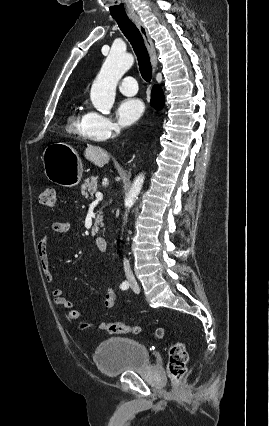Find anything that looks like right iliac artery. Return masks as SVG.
I'll return each instance as SVG.
<instances>
[{
	"label": "right iliac artery",
	"instance_id": "1",
	"mask_svg": "<svg viewBox=\"0 0 269 426\" xmlns=\"http://www.w3.org/2000/svg\"><path fill=\"white\" fill-rule=\"evenodd\" d=\"M120 288H121L122 290H126V289H128V288H129V283H128L127 281H124V282L121 284Z\"/></svg>",
	"mask_w": 269,
	"mask_h": 426
}]
</instances>
